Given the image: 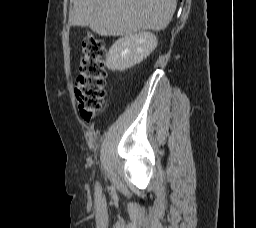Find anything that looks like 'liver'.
<instances>
[{
  "mask_svg": "<svg viewBox=\"0 0 256 228\" xmlns=\"http://www.w3.org/2000/svg\"><path fill=\"white\" fill-rule=\"evenodd\" d=\"M72 26L87 27L100 36H126L144 30H164L176 10V0H72Z\"/></svg>",
  "mask_w": 256,
  "mask_h": 228,
  "instance_id": "obj_1",
  "label": "liver"
}]
</instances>
